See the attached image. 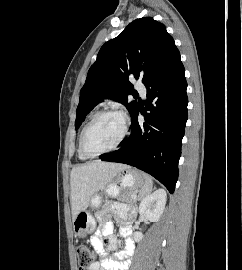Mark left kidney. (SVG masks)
Instances as JSON below:
<instances>
[{"label":"left kidney","instance_id":"left-kidney-1","mask_svg":"<svg viewBox=\"0 0 242 270\" xmlns=\"http://www.w3.org/2000/svg\"><path fill=\"white\" fill-rule=\"evenodd\" d=\"M167 194L164 189H158L147 195L139 205V214L151 222H156L160 219L165 209ZM143 234L141 232L134 233V240L141 241Z\"/></svg>","mask_w":242,"mask_h":270}]
</instances>
